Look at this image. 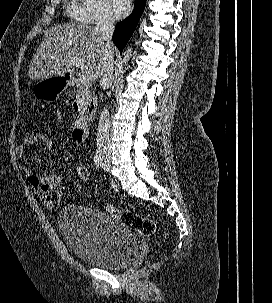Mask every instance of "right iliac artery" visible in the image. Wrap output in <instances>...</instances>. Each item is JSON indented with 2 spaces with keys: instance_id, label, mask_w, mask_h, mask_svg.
<instances>
[{
  "instance_id": "obj_1",
  "label": "right iliac artery",
  "mask_w": 272,
  "mask_h": 303,
  "mask_svg": "<svg viewBox=\"0 0 272 303\" xmlns=\"http://www.w3.org/2000/svg\"><path fill=\"white\" fill-rule=\"evenodd\" d=\"M94 164L100 168L103 166V163H102V159H101V156H100V153L99 151L97 150L96 153H95V156H94Z\"/></svg>"
}]
</instances>
